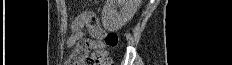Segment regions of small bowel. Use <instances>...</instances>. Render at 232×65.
I'll use <instances>...</instances> for the list:
<instances>
[{
  "mask_svg": "<svg viewBox=\"0 0 232 65\" xmlns=\"http://www.w3.org/2000/svg\"><path fill=\"white\" fill-rule=\"evenodd\" d=\"M85 29H88L89 33L93 36L102 37L104 35V31L100 28L95 17L91 13H84L72 24L71 34L67 39V46L69 48L75 46L82 39ZM77 46L67 60L66 65H87L80 57Z\"/></svg>",
  "mask_w": 232,
  "mask_h": 65,
  "instance_id": "obj_1",
  "label": "small bowel"
}]
</instances>
